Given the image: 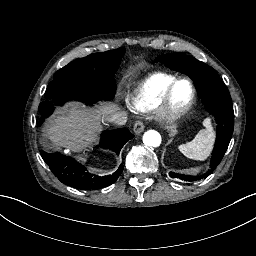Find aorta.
I'll return each instance as SVG.
<instances>
[{
	"mask_svg": "<svg viewBox=\"0 0 256 256\" xmlns=\"http://www.w3.org/2000/svg\"><path fill=\"white\" fill-rule=\"evenodd\" d=\"M143 142L148 147L156 148L161 145L162 137L157 131L150 130V131H147L146 133H144Z\"/></svg>",
	"mask_w": 256,
	"mask_h": 256,
	"instance_id": "obj_1",
	"label": "aorta"
}]
</instances>
